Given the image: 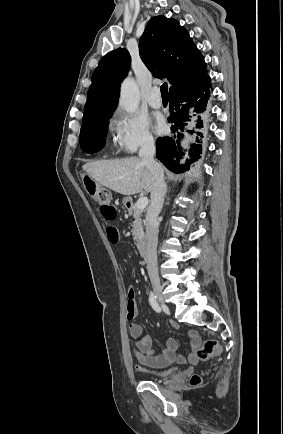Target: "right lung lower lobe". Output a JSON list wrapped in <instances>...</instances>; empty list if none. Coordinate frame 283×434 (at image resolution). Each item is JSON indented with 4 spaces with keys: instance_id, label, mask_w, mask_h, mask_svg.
I'll return each mask as SVG.
<instances>
[{
    "instance_id": "obj_1",
    "label": "right lung lower lobe",
    "mask_w": 283,
    "mask_h": 434,
    "mask_svg": "<svg viewBox=\"0 0 283 434\" xmlns=\"http://www.w3.org/2000/svg\"><path fill=\"white\" fill-rule=\"evenodd\" d=\"M211 90V79L209 76L200 84L185 90H173L170 92V112L168 118L172 122V135L169 137L158 138L156 141V157L171 171L180 173L188 170V164L193 163L200 158L202 153L201 141L196 137L195 144H192L191 159L187 161L185 167L179 165V141L184 138L186 132L196 133L203 137L200 131L186 130V126L192 117L190 109L194 108L196 113H201L205 110L207 100ZM195 116V114L193 115ZM196 128H203V121L198 116Z\"/></svg>"
}]
</instances>
